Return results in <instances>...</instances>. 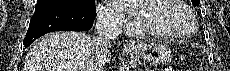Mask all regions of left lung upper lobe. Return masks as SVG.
<instances>
[{
	"label": "left lung upper lobe",
	"instance_id": "5c2ea615",
	"mask_svg": "<svg viewBox=\"0 0 230 71\" xmlns=\"http://www.w3.org/2000/svg\"><path fill=\"white\" fill-rule=\"evenodd\" d=\"M191 1L193 2V5H194V6H198L200 0H191Z\"/></svg>",
	"mask_w": 230,
	"mask_h": 71
}]
</instances>
